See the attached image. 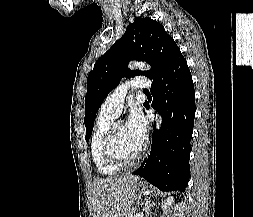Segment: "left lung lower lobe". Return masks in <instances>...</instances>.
Masks as SVG:
<instances>
[{"label":"left lung lower lobe","instance_id":"0a47b994","mask_svg":"<svg viewBox=\"0 0 253 217\" xmlns=\"http://www.w3.org/2000/svg\"><path fill=\"white\" fill-rule=\"evenodd\" d=\"M152 107L162 114L154 126L150 155L133 172L162 191H185L189 181L190 140L195 117V91L185 58L180 53L151 85ZM149 108V104L145 103Z\"/></svg>","mask_w":253,"mask_h":217}]
</instances>
